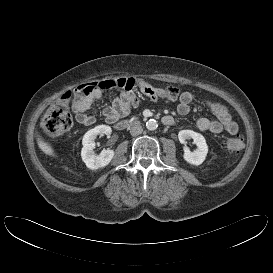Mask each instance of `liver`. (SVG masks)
<instances>
[{
	"mask_svg": "<svg viewBox=\"0 0 273 273\" xmlns=\"http://www.w3.org/2000/svg\"><path fill=\"white\" fill-rule=\"evenodd\" d=\"M37 144L39 146V148L46 154V155H49V156H52V157H56V153L54 151V149L52 148V146L43 141V139L37 135Z\"/></svg>",
	"mask_w": 273,
	"mask_h": 273,
	"instance_id": "liver-1",
	"label": "liver"
}]
</instances>
